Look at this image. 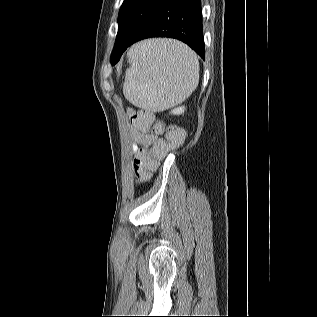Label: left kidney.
Segmentation results:
<instances>
[{
	"instance_id": "5707ae66",
	"label": "left kidney",
	"mask_w": 317,
	"mask_h": 317,
	"mask_svg": "<svg viewBox=\"0 0 317 317\" xmlns=\"http://www.w3.org/2000/svg\"><path fill=\"white\" fill-rule=\"evenodd\" d=\"M184 111H185V107L181 106V107H177V108L173 109L171 111V113L174 115H180V114L184 113Z\"/></svg>"
}]
</instances>
